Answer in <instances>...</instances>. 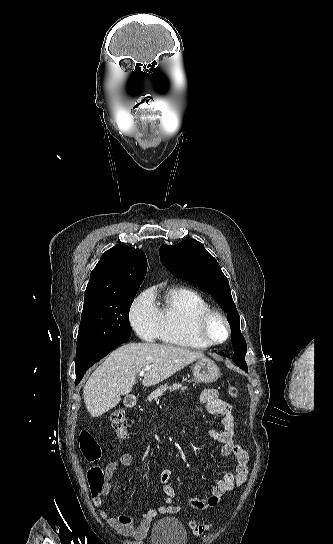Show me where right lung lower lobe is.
Returning a JSON list of instances; mask_svg holds the SVG:
<instances>
[{
	"label": "right lung lower lobe",
	"mask_w": 333,
	"mask_h": 544,
	"mask_svg": "<svg viewBox=\"0 0 333 544\" xmlns=\"http://www.w3.org/2000/svg\"><path fill=\"white\" fill-rule=\"evenodd\" d=\"M129 338H130V336H123V337L117 338L111 344H109L108 346H106L103 349H101L100 351H98L96 354L91 356L89 359L84 361L82 364L76 366V376H77V378L75 380V384L76 385L79 384V382L82 380L86 370L89 369L94 363L101 360L103 357H105L109 352H111L117 346L127 342L129 340Z\"/></svg>",
	"instance_id": "98d812e1"
}]
</instances>
